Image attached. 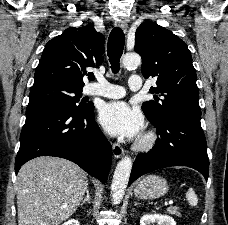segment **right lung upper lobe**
<instances>
[{
    "label": "right lung upper lobe",
    "mask_w": 228,
    "mask_h": 225,
    "mask_svg": "<svg viewBox=\"0 0 228 225\" xmlns=\"http://www.w3.org/2000/svg\"><path fill=\"white\" fill-rule=\"evenodd\" d=\"M104 42L103 35L92 23L66 29L46 44L33 85L59 82L82 88L84 75L94 79L93 73H87L86 68L98 67L103 62Z\"/></svg>",
    "instance_id": "obj_1"
}]
</instances>
